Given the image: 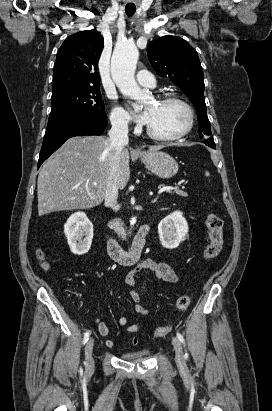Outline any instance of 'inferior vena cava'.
Returning <instances> with one entry per match:
<instances>
[{
	"mask_svg": "<svg viewBox=\"0 0 272 411\" xmlns=\"http://www.w3.org/2000/svg\"><path fill=\"white\" fill-rule=\"evenodd\" d=\"M111 129L109 131V148L112 151L110 157V168L107 173L105 187V205L117 211L118 186L117 174L119 170L120 155L122 149L128 144V122L121 117L111 118Z\"/></svg>",
	"mask_w": 272,
	"mask_h": 411,
	"instance_id": "inferior-vena-cava-1",
	"label": "inferior vena cava"
}]
</instances>
